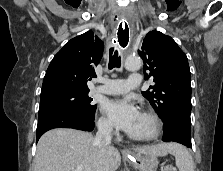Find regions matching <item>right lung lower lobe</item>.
<instances>
[{
	"instance_id": "1",
	"label": "right lung lower lobe",
	"mask_w": 223,
	"mask_h": 171,
	"mask_svg": "<svg viewBox=\"0 0 223 171\" xmlns=\"http://www.w3.org/2000/svg\"><path fill=\"white\" fill-rule=\"evenodd\" d=\"M95 126L94 117L71 109H58L39 116L36 142L48 130L54 128H73L92 131Z\"/></svg>"
}]
</instances>
